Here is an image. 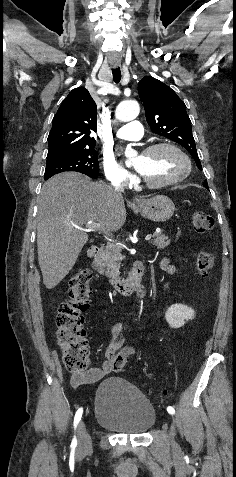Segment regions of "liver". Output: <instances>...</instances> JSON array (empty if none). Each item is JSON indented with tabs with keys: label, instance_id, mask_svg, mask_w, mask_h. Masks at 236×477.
I'll return each mask as SVG.
<instances>
[{
	"label": "liver",
	"instance_id": "1",
	"mask_svg": "<svg viewBox=\"0 0 236 477\" xmlns=\"http://www.w3.org/2000/svg\"><path fill=\"white\" fill-rule=\"evenodd\" d=\"M126 220L123 197L108 185L76 172L47 180L39 195L37 216L38 261L47 289L56 287L74 266L93 222L116 231Z\"/></svg>",
	"mask_w": 236,
	"mask_h": 477
}]
</instances>
